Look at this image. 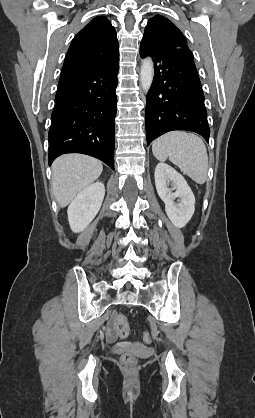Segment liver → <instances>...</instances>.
Returning a JSON list of instances; mask_svg holds the SVG:
<instances>
[{
  "label": "liver",
  "instance_id": "1",
  "mask_svg": "<svg viewBox=\"0 0 255 418\" xmlns=\"http://www.w3.org/2000/svg\"><path fill=\"white\" fill-rule=\"evenodd\" d=\"M102 171V162L87 155L58 157L52 165V190L58 205L66 207L79 192L97 180Z\"/></svg>",
  "mask_w": 255,
  "mask_h": 418
}]
</instances>
